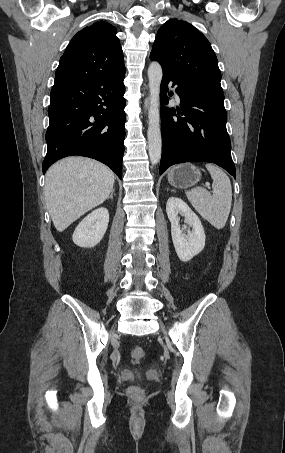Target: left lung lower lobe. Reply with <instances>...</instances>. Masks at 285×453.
Returning a JSON list of instances; mask_svg holds the SVG:
<instances>
[{"mask_svg":"<svg viewBox=\"0 0 285 453\" xmlns=\"http://www.w3.org/2000/svg\"><path fill=\"white\" fill-rule=\"evenodd\" d=\"M178 85L180 108H161L162 157L160 174L178 163L200 161L219 165L236 178L231 142L226 130L224 99L179 77L163 73L161 103L167 104L168 83ZM180 113L182 116H180Z\"/></svg>","mask_w":285,"mask_h":453,"instance_id":"1","label":"left lung lower lobe"}]
</instances>
